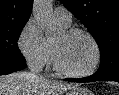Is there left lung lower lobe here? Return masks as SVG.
Returning a JSON list of instances; mask_svg holds the SVG:
<instances>
[{"instance_id":"left-lung-lower-lobe-1","label":"left lung lower lobe","mask_w":119,"mask_h":95,"mask_svg":"<svg viewBox=\"0 0 119 95\" xmlns=\"http://www.w3.org/2000/svg\"><path fill=\"white\" fill-rule=\"evenodd\" d=\"M72 82H92V81H116L119 82V72L114 73L109 76H102L98 73L93 74L92 76L80 79H65Z\"/></svg>"}]
</instances>
